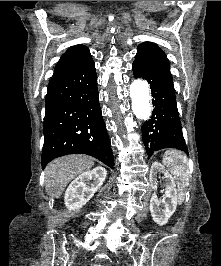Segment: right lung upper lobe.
<instances>
[{
  "label": "right lung upper lobe",
  "mask_w": 221,
  "mask_h": 266,
  "mask_svg": "<svg viewBox=\"0 0 221 266\" xmlns=\"http://www.w3.org/2000/svg\"><path fill=\"white\" fill-rule=\"evenodd\" d=\"M92 60L89 49L84 45L70 47L60 58L54 69L53 76H57L85 65Z\"/></svg>",
  "instance_id": "right-lung-upper-lobe-1"
}]
</instances>
